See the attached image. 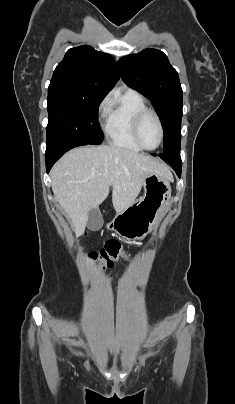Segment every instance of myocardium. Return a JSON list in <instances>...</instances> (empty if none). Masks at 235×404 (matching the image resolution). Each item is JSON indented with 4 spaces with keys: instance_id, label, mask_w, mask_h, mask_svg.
<instances>
[{
    "instance_id": "1",
    "label": "myocardium",
    "mask_w": 235,
    "mask_h": 404,
    "mask_svg": "<svg viewBox=\"0 0 235 404\" xmlns=\"http://www.w3.org/2000/svg\"><path fill=\"white\" fill-rule=\"evenodd\" d=\"M148 115H151L156 119L158 126H159V131H160L159 142L155 147H152V148L146 147L142 143L141 138H140L141 124H142L143 120L145 119V117ZM132 133H133V137H134L135 141L142 149L147 150V151H153V150L158 149L164 139V127H163V123L161 121L160 116L151 109H145V110L140 111L134 118L133 125H132Z\"/></svg>"
}]
</instances>
